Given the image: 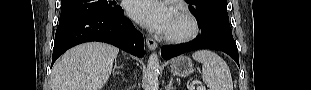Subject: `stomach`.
Here are the masks:
<instances>
[{
    "label": "stomach",
    "mask_w": 311,
    "mask_h": 90,
    "mask_svg": "<svg viewBox=\"0 0 311 90\" xmlns=\"http://www.w3.org/2000/svg\"><path fill=\"white\" fill-rule=\"evenodd\" d=\"M170 68L173 75L180 77L189 76L193 72L192 61L187 56L174 59Z\"/></svg>",
    "instance_id": "1"
}]
</instances>
